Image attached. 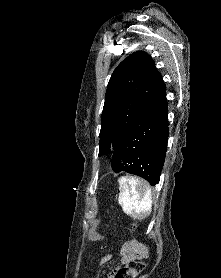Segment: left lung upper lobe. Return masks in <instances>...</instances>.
Listing matches in <instances>:
<instances>
[{
	"label": "left lung upper lobe",
	"instance_id": "5c2ea615",
	"mask_svg": "<svg viewBox=\"0 0 221 278\" xmlns=\"http://www.w3.org/2000/svg\"><path fill=\"white\" fill-rule=\"evenodd\" d=\"M162 77L143 51L134 52L114 70L101 118L99 155L113 152L148 105Z\"/></svg>",
	"mask_w": 221,
	"mask_h": 278
}]
</instances>
